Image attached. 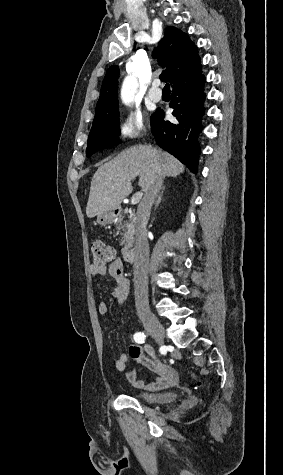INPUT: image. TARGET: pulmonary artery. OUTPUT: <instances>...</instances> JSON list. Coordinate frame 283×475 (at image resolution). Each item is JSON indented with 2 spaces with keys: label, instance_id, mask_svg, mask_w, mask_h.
Instances as JSON below:
<instances>
[{
  "label": "pulmonary artery",
  "instance_id": "1",
  "mask_svg": "<svg viewBox=\"0 0 283 475\" xmlns=\"http://www.w3.org/2000/svg\"><path fill=\"white\" fill-rule=\"evenodd\" d=\"M160 84H152V88L150 90V93H151V97L150 99L153 101V102H159L160 101V98L159 97H155V96H161L162 93H163V90L161 87H159ZM123 90H138V89H123Z\"/></svg>",
  "mask_w": 283,
  "mask_h": 475
}]
</instances>
